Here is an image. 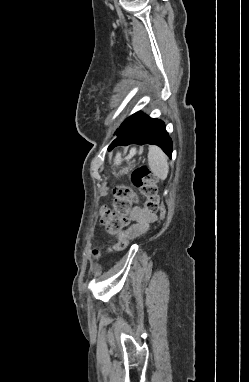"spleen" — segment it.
Instances as JSON below:
<instances>
[{
	"instance_id": "obj_1",
	"label": "spleen",
	"mask_w": 249,
	"mask_h": 382,
	"mask_svg": "<svg viewBox=\"0 0 249 382\" xmlns=\"http://www.w3.org/2000/svg\"><path fill=\"white\" fill-rule=\"evenodd\" d=\"M148 164L156 177L162 180L167 178L169 173L168 158L159 147H149Z\"/></svg>"
}]
</instances>
